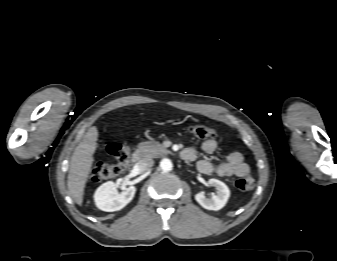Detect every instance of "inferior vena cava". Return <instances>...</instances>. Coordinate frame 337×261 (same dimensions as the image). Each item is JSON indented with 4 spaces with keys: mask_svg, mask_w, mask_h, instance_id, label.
Returning <instances> with one entry per match:
<instances>
[{
    "mask_svg": "<svg viewBox=\"0 0 337 261\" xmlns=\"http://www.w3.org/2000/svg\"><path fill=\"white\" fill-rule=\"evenodd\" d=\"M154 164V161L150 158H144L136 163L137 168L140 172H145L149 170Z\"/></svg>",
    "mask_w": 337,
    "mask_h": 261,
    "instance_id": "obj_1",
    "label": "inferior vena cava"
}]
</instances>
